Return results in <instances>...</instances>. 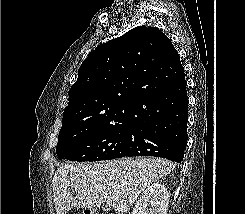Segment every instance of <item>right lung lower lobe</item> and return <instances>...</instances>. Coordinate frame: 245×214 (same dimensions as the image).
Listing matches in <instances>:
<instances>
[{"instance_id": "obj_1", "label": "right lung lower lobe", "mask_w": 245, "mask_h": 214, "mask_svg": "<svg viewBox=\"0 0 245 214\" xmlns=\"http://www.w3.org/2000/svg\"><path fill=\"white\" fill-rule=\"evenodd\" d=\"M167 88L153 95L135 113L125 144L116 158L156 156L181 162L187 146L188 99L178 52Z\"/></svg>"}]
</instances>
